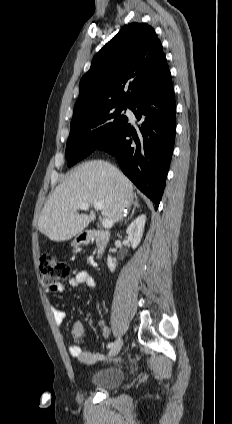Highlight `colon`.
<instances>
[{"instance_id": "colon-1", "label": "colon", "mask_w": 232, "mask_h": 424, "mask_svg": "<svg viewBox=\"0 0 232 424\" xmlns=\"http://www.w3.org/2000/svg\"><path fill=\"white\" fill-rule=\"evenodd\" d=\"M39 272L42 285L54 289L70 276L71 269L68 263L59 260L55 255L43 254L39 260Z\"/></svg>"}]
</instances>
